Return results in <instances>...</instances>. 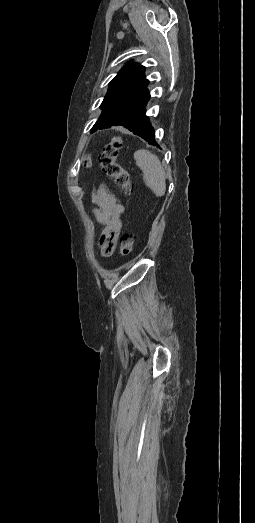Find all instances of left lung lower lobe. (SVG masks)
Returning a JSON list of instances; mask_svg holds the SVG:
<instances>
[{
    "instance_id": "0a47b994",
    "label": "left lung lower lobe",
    "mask_w": 255,
    "mask_h": 523,
    "mask_svg": "<svg viewBox=\"0 0 255 523\" xmlns=\"http://www.w3.org/2000/svg\"><path fill=\"white\" fill-rule=\"evenodd\" d=\"M145 132L147 133L141 132L142 134H140V137H143V140H145V145H155L157 150L163 149V144H160L158 141H156L158 134H154L156 132L155 128L153 130H145Z\"/></svg>"
}]
</instances>
